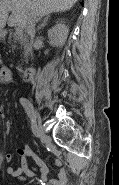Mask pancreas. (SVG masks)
<instances>
[{
    "label": "pancreas",
    "instance_id": "obj_1",
    "mask_svg": "<svg viewBox=\"0 0 119 185\" xmlns=\"http://www.w3.org/2000/svg\"><path fill=\"white\" fill-rule=\"evenodd\" d=\"M9 43H14L13 44V47L15 48L16 47V43L20 44L21 46H23L24 48V58L28 59V56H29V53L31 51V48H30V45L25 37V35H23V33L21 34H14L13 35V39L12 37H9Z\"/></svg>",
    "mask_w": 119,
    "mask_h": 185
}]
</instances>
